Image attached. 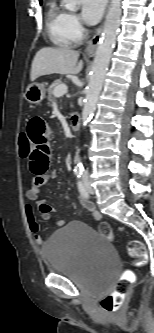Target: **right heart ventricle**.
Listing matches in <instances>:
<instances>
[{
	"instance_id": "e07e8e85",
	"label": "right heart ventricle",
	"mask_w": 154,
	"mask_h": 333,
	"mask_svg": "<svg viewBox=\"0 0 154 333\" xmlns=\"http://www.w3.org/2000/svg\"><path fill=\"white\" fill-rule=\"evenodd\" d=\"M68 13L57 3L49 6L46 27L51 41L58 47H70L76 40L68 29Z\"/></svg>"
}]
</instances>
